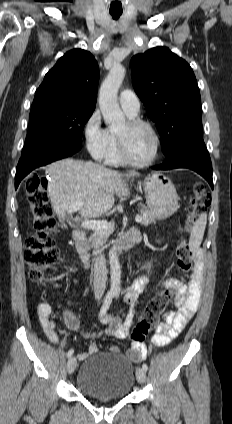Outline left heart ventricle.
<instances>
[{
    "mask_svg": "<svg viewBox=\"0 0 232 424\" xmlns=\"http://www.w3.org/2000/svg\"><path fill=\"white\" fill-rule=\"evenodd\" d=\"M123 136L128 155L138 161L146 160L154 152L155 141L151 132L144 127H130L125 122L117 132Z\"/></svg>",
    "mask_w": 232,
    "mask_h": 424,
    "instance_id": "1",
    "label": "left heart ventricle"
}]
</instances>
